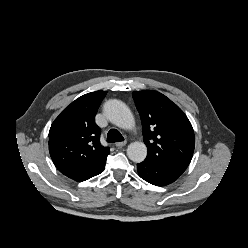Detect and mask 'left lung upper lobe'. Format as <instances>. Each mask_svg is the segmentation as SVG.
Masks as SVG:
<instances>
[{
    "mask_svg": "<svg viewBox=\"0 0 248 248\" xmlns=\"http://www.w3.org/2000/svg\"><path fill=\"white\" fill-rule=\"evenodd\" d=\"M133 98L148 149L146 159L185 171L195 147L194 131L187 116L157 91H135Z\"/></svg>",
    "mask_w": 248,
    "mask_h": 248,
    "instance_id": "1",
    "label": "left lung upper lobe"
}]
</instances>
